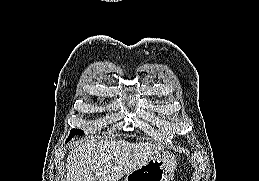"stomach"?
Wrapping results in <instances>:
<instances>
[{"label": "stomach", "mask_w": 259, "mask_h": 181, "mask_svg": "<svg viewBox=\"0 0 259 181\" xmlns=\"http://www.w3.org/2000/svg\"><path fill=\"white\" fill-rule=\"evenodd\" d=\"M176 166L177 162L172 154L160 153L126 174L125 181H170Z\"/></svg>", "instance_id": "0dacf381"}]
</instances>
